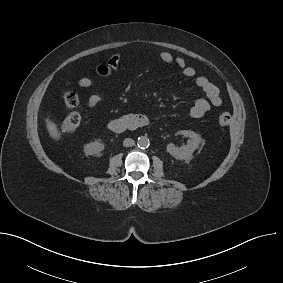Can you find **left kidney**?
<instances>
[{
	"label": "left kidney",
	"instance_id": "1",
	"mask_svg": "<svg viewBox=\"0 0 283 283\" xmlns=\"http://www.w3.org/2000/svg\"><path fill=\"white\" fill-rule=\"evenodd\" d=\"M179 134L188 137L187 144L181 147L175 146L173 143L167 145V152L178 160H190L193 152L198 148L201 143V137L199 134L191 130H181Z\"/></svg>",
	"mask_w": 283,
	"mask_h": 283
}]
</instances>
